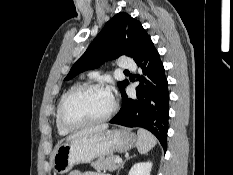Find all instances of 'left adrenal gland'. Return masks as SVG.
Segmentation results:
<instances>
[{"label": "left adrenal gland", "mask_w": 233, "mask_h": 175, "mask_svg": "<svg viewBox=\"0 0 233 175\" xmlns=\"http://www.w3.org/2000/svg\"><path fill=\"white\" fill-rule=\"evenodd\" d=\"M135 156V155H134ZM133 156V157H134ZM130 158H132V157H130ZM124 163H125V161H123L121 164H120V166H119V168H118V172H119V170L121 169V168H123V166H124ZM118 175V174H117Z\"/></svg>", "instance_id": "1"}]
</instances>
